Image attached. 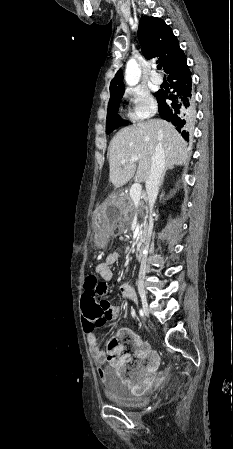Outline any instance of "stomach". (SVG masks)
I'll use <instances>...</instances> for the list:
<instances>
[{
  "label": "stomach",
  "instance_id": "1",
  "mask_svg": "<svg viewBox=\"0 0 233 449\" xmlns=\"http://www.w3.org/2000/svg\"><path fill=\"white\" fill-rule=\"evenodd\" d=\"M119 196H112L101 208V212H95L94 219L97 227L102 231H107L109 227H115L116 222L122 216V209ZM104 246V243H100Z\"/></svg>",
  "mask_w": 233,
  "mask_h": 449
}]
</instances>
